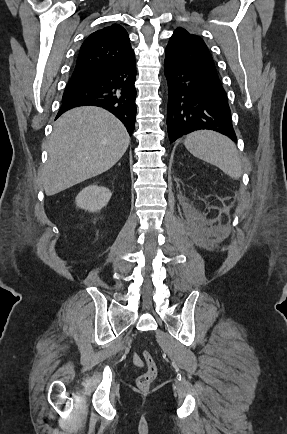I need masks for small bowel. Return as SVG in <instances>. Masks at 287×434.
<instances>
[{"mask_svg": "<svg viewBox=\"0 0 287 434\" xmlns=\"http://www.w3.org/2000/svg\"><path fill=\"white\" fill-rule=\"evenodd\" d=\"M136 364H137L138 366H142V362H141L139 359H136Z\"/></svg>", "mask_w": 287, "mask_h": 434, "instance_id": "c3829d8e", "label": "small bowel"}]
</instances>
